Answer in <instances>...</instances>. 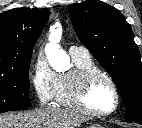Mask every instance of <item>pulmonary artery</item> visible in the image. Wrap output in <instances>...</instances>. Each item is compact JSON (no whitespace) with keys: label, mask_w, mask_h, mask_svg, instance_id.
I'll return each mask as SVG.
<instances>
[{"label":"pulmonary artery","mask_w":142,"mask_h":128,"mask_svg":"<svg viewBox=\"0 0 142 128\" xmlns=\"http://www.w3.org/2000/svg\"><path fill=\"white\" fill-rule=\"evenodd\" d=\"M69 54L71 57L77 58H88L90 57V53L87 48L82 46H70L69 47Z\"/></svg>","instance_id":"1"}]
</instances>
